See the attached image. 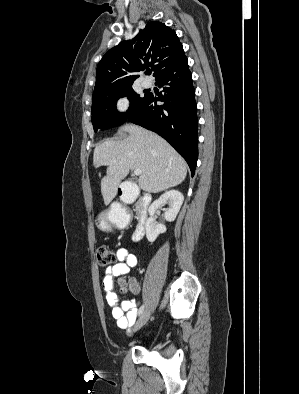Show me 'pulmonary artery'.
Here are the masks:
<instances>
[{"label":"pulmonary artery","instance_id":"pulmonary-artery-1","mask_svg":"<svg viewBox=\"0 0 299 394\" xmlns=\"http://www.w3.org/2000/svg\"><path fill=\"white\" fill-rule=\"evenodd\" d=\"M143 86H144L145 88H150V87H152V82H151L150 80H148V79H145V80L143 81Z\"/></svg>","mask_w":299,"mask_h":394}]
</instances>
